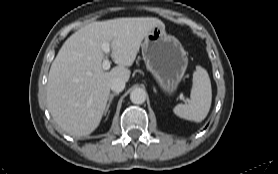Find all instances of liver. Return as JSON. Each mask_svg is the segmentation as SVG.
Returning a JSON list of instances; mask_svg holds the SVG:
<instances>
[{
    "label": "liver",
    "mask_w": 278,
    "mask_h": 174,
    "mask_svg": "<svg viewBox=\"0 0 278 174\" xmlns=\"http://www.w3.org/2000/svg\"><path fill=\"white\" fill-rule=\"evenodd\" d=\"M156 26L154 17H124L92 22L62 45L51 64L47 82L48 109L70 135L85 136L100 124L115 78L129 80L131 66L145 36ZM110 44L118 66L105 72L101 45Z\"/></svg>",
    "instance_id": "liver-1"
}]
</instances>
